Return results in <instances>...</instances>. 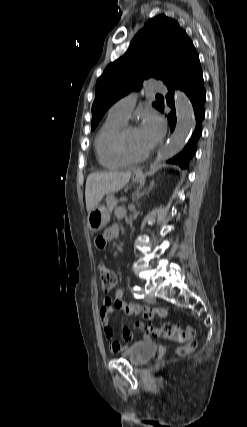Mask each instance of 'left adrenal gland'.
<instances>
[{"instance_id": "obj_1", "label": "left adrenal gland", "mask_w": 247, "mask_h": 427, "mask_svg": "<svg viewBox=\"0 0 247 427\" xmlns=\"http://www.w3.org/2000/svg\"><path fill=\"white\" fill-rule=\"evenodd\" d=\"M151 188H152V186H150V187H149V189H148L147 191H144V192H142V193H139V191H137L136 196H135V199H136V200H139V199H140L144 194H146V193L150 192Z\"/></svg>"}]
</instances>
